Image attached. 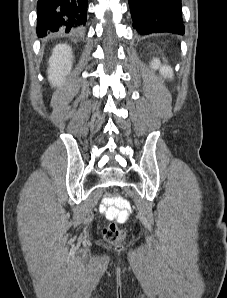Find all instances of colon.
Instances as JSON below:
<instances>
[{
  "instance_id": "obj_1",
  "label": "colon",
  "mask_w": 227,
  "mask_h": 298,
  "mask_svg": "<svg viewBox=\"0 0 227 298\" xmlns=\"http://www.w3.org/2000/svg\"><path fill=\"white\" fill-rule=\"evenodd\" d=\"M105 205V214L109 223L103 228V236L108 243L118 244L124 239L125 233L114 220L124 221L129 213V205L121 197L117 196L107 197Z\"/></svg>"
}]
</instances>
